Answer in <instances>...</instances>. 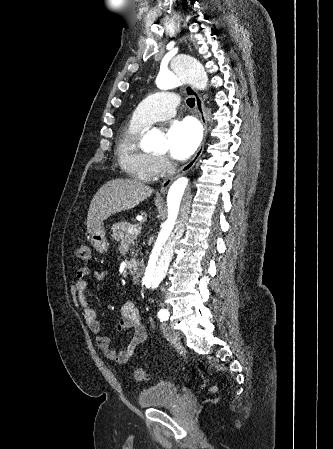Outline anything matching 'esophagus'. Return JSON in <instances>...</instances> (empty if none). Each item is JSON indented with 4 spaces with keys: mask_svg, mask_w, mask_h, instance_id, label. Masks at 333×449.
Instances as JSON below:
<instances>
[{
    "mask_svg": "<svg viewBox=\"0 0 333 449\" xmlns=\"http://www.w3.org/2000/svg\"><path fill=\"white\" fill-rule=\"evenodd\" d=\"M185 91L189 96H191L195 99L196 111H197V114H198V117H199L201 123L203 124L204 130H205V137H204V141L202 142V144L200 145V147L198 148V150L196 151V153L194 154L192 159L187 164H185L175 176L168 178L167 180H165L162 183V185L160 187V191L162 193H164L167 190V188L172 184V182L176 178L186 174L188 171H190L193 168V166L195 165V163L197 162V160L203 153L204 146H205L208 124H207V117H206V110H205L204 102H203L200 94L191 85H187L185 87Z\"/></svg>",
    "mask_w": 333,
    "mask_h": 449,
    "instance_id": "esophagus-1",
    "label": "esophagus"
}]
</instances>
